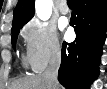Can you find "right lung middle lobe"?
Segmentation results:
<instances>
[{
    "mask_svg": "<svg viewBox=\"0 0 107 89\" xmlns=\"http://www.w3.org/2000/svg\"><path fill=\"white\" fill-rule=\"evenodd\" d=\"M21 27H22V26L12 28V44H13V47H14V48H15L17 36H18V34H19V29H20Z\"/></svg>",
    "mask_w": 107,
    "mask_h": 89,
    "instance_id": "dd1d6c3e",
    "label": "right lung middle lobe"
}]
</instances>
